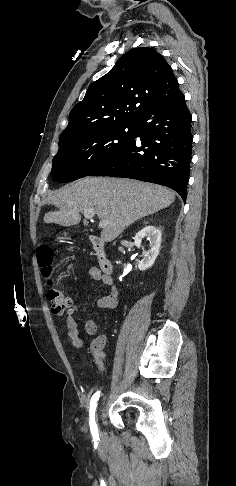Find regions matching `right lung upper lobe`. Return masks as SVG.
Segmentation results:
<instances>
[{"mask_svg": "<svg viewBox=\"0 0 236 486\" xmlns=\"http://www.w3.org/2000/svg\"><path fill=\"white\" fill-rule=\"evenodd\" d=\"M183 94L171 66L150 47L121 56L113 69L92 83L69 114L59 143L116 125L133 124L147 109Z\"/></svg>", "mask_w": 236, "mask_h": 486, "instance_id": "obj_1", "label": "right lung upper lobe"}]
</instances>
